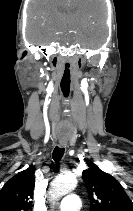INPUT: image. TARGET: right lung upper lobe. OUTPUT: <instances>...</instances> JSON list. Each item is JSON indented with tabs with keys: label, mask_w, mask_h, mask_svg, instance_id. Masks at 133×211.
<instances>
[{
	"label": "right lung upper lobe",
	"mask_w": 133,
	"mask_h": 211,
	"mask_svg": "<svg viewBox=\"0 0 133 211\" xmlns=\"http://www.w3.org/2000/svg\"><path fill=\"white\" fill-rule=\"evenodd\" d=\"M35 170L28 168L12 177L0 191V211H29L32 207Z\"/></svg>",
	"instance_id": "obj_1"
}]
</instances>
